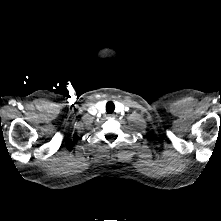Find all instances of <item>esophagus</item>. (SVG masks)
<instances>
[{
	"instance_id": "1",
	"label": "esophagus",
	"mask_w": 221,
	"mask_h": 221,
	"mask_svg": "<svg viewBox=\"0 0 221 221\" xmlns=\"http://www.w3.org/2000/svg\"><path fill=\"white\" fill-rule=\"evenodd\" d=\"M108 118H114V115L113 114H109Z\"/></svg>"
}]
</instances>
